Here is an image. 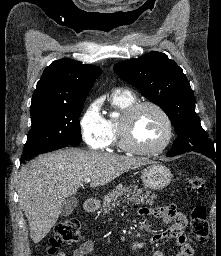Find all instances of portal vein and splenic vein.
Instances as JSON below:
<instances>
[{
    "mask_svg": "<svg viewBox=\"0 0 221 256\" xmlns=\"http://www.w3.org/2000/svg\"><path fill=\"white\" fill-rule=\"evenodd\" d=\"M91 180L89 178L85 179L84 182L85 183H89Z\"/></svg>",
    "mask_w": 221,
    "mask_h": 256,
    "instance_id": "1",
    "label": "portal vein and splenic vein"
}]
</instances>
